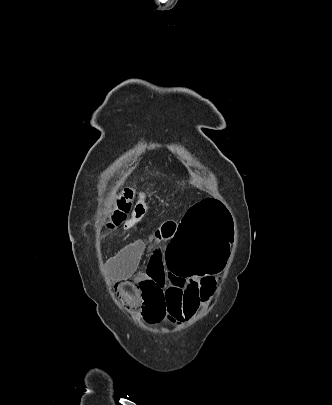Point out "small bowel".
Listing matches in <instances>:
<instances>
[{
  "label": "small bowel",
  "instance_id": "obj_1",
  "mask_svg": "<svg viewBox=\"0 0 332 405\" xmlns=\"http://www.w3.org/2000/svg\"><path fill=\"white\" fill-rule=\"evenodd\" d=\"M131 216L140 221L147 216V202L140 198ZM175 222H167L145 240L126 244L110 256L106 264L112 274L121 281L131 278L140 258L149 244L152 253L144 271L137 274L136 285L140 293L142 326H162L163 320L181 323L190 319L200 305L213 293V275H172L165 269L163 247L166 241L174 240Z\"/></svg>",
  "mask_w": 332,
  "mask_h": 405
}]
</instances>
